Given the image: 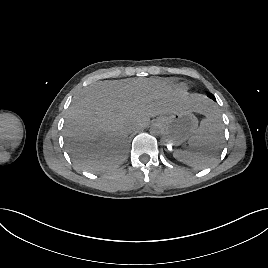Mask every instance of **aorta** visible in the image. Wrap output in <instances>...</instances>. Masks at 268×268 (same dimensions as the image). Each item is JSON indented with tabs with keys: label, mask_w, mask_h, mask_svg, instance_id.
<instances>
[{
	"label": "aorta",
	"mask_w": 268,
	"mask_h": 268,
	"mask_svg": "<svg viewBox=\"0 0 268 268\" xmlns=\"http://www.w3.org/2000/svg\"><path fill=\"white\" fill-rule=\"evenodd\" d=\"M161 132H162V129L159 125L154 124L150 127V134L152 135H159L161 134Z\"/></svg>",
	"instance_id": "1"
}]
</instances>
